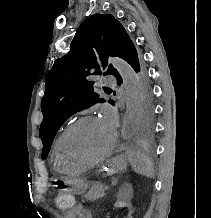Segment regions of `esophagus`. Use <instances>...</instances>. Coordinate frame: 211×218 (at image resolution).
Listing matches in <instances>:
<instances>
[{"label": "esophagus", "mask_w": 211, "mask_h": 218, "mask_svg": "<svg viewBox=\"0 0 211 218\" xmlns=\"http://www.w3.org/2000/svg\"><path fill=\"white\" fill-rule=\"evenodd\" d=\"M104 171H107V168H104Z\"/></svg>", "instance_id": "1"}]
</instances>
